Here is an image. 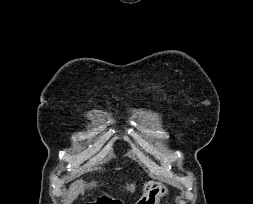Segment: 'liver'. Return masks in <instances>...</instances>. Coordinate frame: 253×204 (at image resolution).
Wrapping results in <instances>:
<instances>
[{"label":"liver","instance_id":"liver-1","mask_svg":"<svg viewBox=\"0 0 253 204\" xmlns=\"http://www.w3.org/2000/svg\"><path fill=\"white\" fill-rule=\"evenodd\" d=\"M97 186V183L91 182L89 184H86L83 180H77L73 182L68 190L67 198L65 201V204H71L79 195V193H84L85 189H92ZM131 191L133 190V185L131 186Z\"/></svg>","mask_w":253,"mask_h":204}]
</instances>
